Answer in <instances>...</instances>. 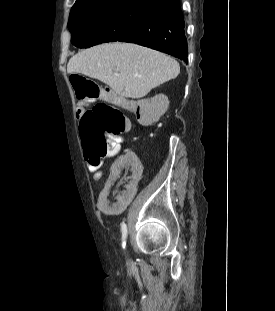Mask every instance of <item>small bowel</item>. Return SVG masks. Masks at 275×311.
Segmentation results:
<instances>
[{
    "label": "small bowel",
    "mask_w": 275,
    "mask_h": 311,
    "mask_svg": "<svg viewBox=\"0 0 275 311\" xmlns=\"http://www.w3.org/2000/svg\"><path fill=\"white\" fill-rule=\"evenodd\" d=\"M88 105L87 102L78 103L77 117L82 115ZM121 105L126 108L124 103H121ZM117 141L118 146L123 143L122 138H118ZM137 154V150H121L118 160H112L111 169L108 170L109 183H104L101 191H99V198H102V200L98 201L96 213H102L103 216H120L124 212L126 205L137 193L138 180L142 176V160L137 159ZM86 164L93 180H101L103 162L86 157ZM123 171H126V173H123ZM118 180L130 181L125 182L117 194V187H114V185H117Z\"/></svg>",
    "instance_id": "small-bowel-1"
}]
</instances>
